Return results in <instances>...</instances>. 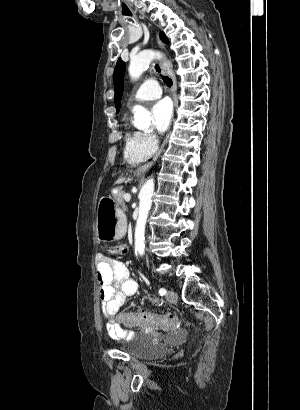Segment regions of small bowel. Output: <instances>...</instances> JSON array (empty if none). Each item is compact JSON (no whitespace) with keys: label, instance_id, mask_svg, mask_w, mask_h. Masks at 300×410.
<instances>
[{"label":"small bowel","instance_id":"small-bowel-1","mask_svg":"<svg viewBox=\"0 0 300 410\" xmlns=\"http://www.w3.org/2000/svg\"><path fill=\"white\" fill-rule=\"evenodd\" d=\"M95 267L102 311L108 320L106 329L113 339L129 340L134 337V332L116 322L115 317L125 299L136 293L137 282L122 262L106 255L96 257Z\"/></svg>","mask_w":300,"mask_h":410}]
</instances>
